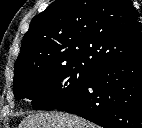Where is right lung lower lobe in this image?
I'll return each instance as SVG.
<instances>
[{"instance_id":"98d812e1","label":"right lung lower lobe","mask_w":142,"mask_h":128,"mask_svg":"<svg viewBox=\"0 0 142 128\" xmlns=\"http://www.w3.org/2000/svg\"><path fill=\"white\" fill-rule=\"evenodd\" d=\"M58 110L104 128H142V51L93 71L84 90Z\"/></svg>"}]
</instances>
